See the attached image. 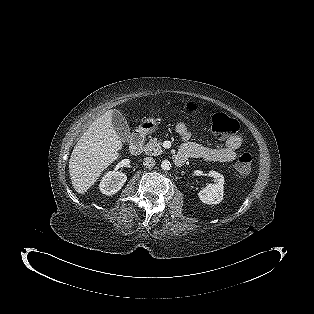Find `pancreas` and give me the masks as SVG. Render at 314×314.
I'll return each instance as SVG.
<instances>
[{"instance_id":"obj_1","label":"pancreas","mask_w":314,"mask_h":314,"mask_svg":"<svg viewBox=\"0 0 314 314\" xmlns=\"http://www.w3.org/2000/svg\"><path fill=\"white\" fill-rule=\"evenodd\" d=\"M144 152L147 155L158 156L163 153L161 142L157 140V138L150 139V141L145 145Z\"/></svg>"}]
</instances>
